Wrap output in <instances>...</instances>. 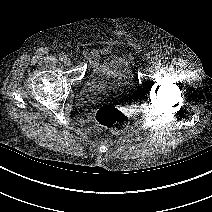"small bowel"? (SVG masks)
<instances>
[{
  "label": "small bowel",
  "instance_id": "c3829d8e",
  "mask_svg": "<svg viewBox=\"0 0 212 212\" xmlns=\"http://www.w3.org/2000/svg\"><path fill=\"white\" fill-rule=\"evenodd\" d=\"M109 52V48H89L84 51V54L89 59L91 65H96L100 56Z\"/></svg>",
  "mask_w": 212,
  "mask_h": 212
}]
</instances>
